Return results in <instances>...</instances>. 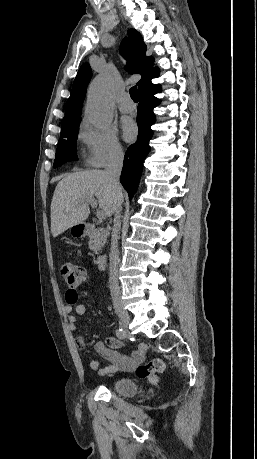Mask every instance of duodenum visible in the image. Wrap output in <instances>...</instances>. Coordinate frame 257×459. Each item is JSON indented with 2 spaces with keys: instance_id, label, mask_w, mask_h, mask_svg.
<instances>
[{
  "instance_id": "duodenum-1",
  "label": "duodenum",
  "mask_w": 257,
  "mask_h": 459,
  "mask_svg": "<svg viewBox=\"0 0 257 459\" xmlns=\"http://www.w3.org/2000/svg\"><path fill=\"white\" fill-rule=\"evenodd\" d=\"M98 228L96 225L92 223H85L84 225L77 227V236L80 237H89L96 234ZM107 257L105 255H101L97 258V265L99 268H103L106 264Z\"/></svg>"
}]
</instances>
